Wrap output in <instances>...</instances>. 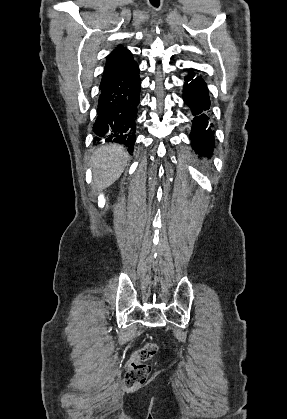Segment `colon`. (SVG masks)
Wrapping results in <instances>:
<instances>
[{
    "label": "colon",
    "mask_w": 287,
    "mask_h": 419,
    "mask_svg": "<svg viewBox=\"0 0 287 419\" xmlns=\"http://www.w3.org/2000/svg\"><path fill=\"white\" fill-rule=\"evenodd\" d=\"M156 353L157 346L152 343L146 344L133 353L125 375L127 389H137L145 383L151 371L149 361Z\"/></svg>",
    "instance_id": "1"
}]
</instances>
